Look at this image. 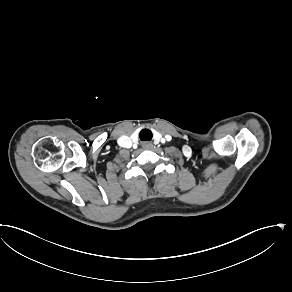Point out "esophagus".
I'll use <instances>...</instances> for the list:
<instances>
[{
    "label": "esophagus",
    "mask_w": 292,
    "mask_h": 292,
    "mask_svg": "<svg viewBox=\"0 0 292 292\" xmlns=\"http://www.w3.org/2000/svg\"><path fill=\"white\" fill-rule=\"evenodd\" d=\"M141 146L144 148V149H151L152 148V143L150 141H144L141 143Z\"/></svg>",
    "instance_id": "obj_1"
}]
</instances>
